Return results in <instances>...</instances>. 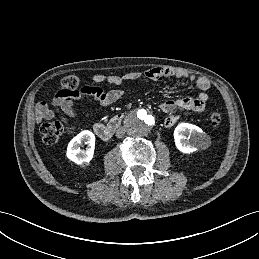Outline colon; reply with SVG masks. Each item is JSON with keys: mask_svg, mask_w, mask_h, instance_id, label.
I'll return each instance as SVG.
<instances>
[{"mask_svg": "<svg viewBox=\"0 0 259 259\" xmlns=\"http://www.w3.org/2000/svg\"><path fill=\"white\" fill-rule=\"evenodd\" d=\"M79 85V78L76 75H68L61 81L60 93L63 95H69L77 90ZM212 126H218L221 121V115L218 112H212L209 117ZM42 139L46 144H54L61 137L64 128L58 121L45 122L40 128Z\"/></svg>", "mask_w": 259, "mask_h": 259, "instance_id": "colon-1", "label": "colon"}]
</instances>
